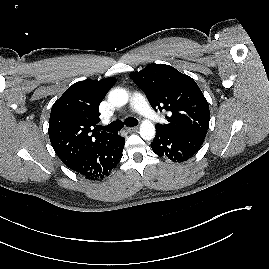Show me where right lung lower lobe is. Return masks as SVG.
Instances as JSON below:
<instances>
[{
	"label": "right lung lower lobe",
	"instance_id": "98d812e1",
	"mask_svg": "<svg viewBox=\"0 0 269 269\" xmlns=\"http://www.w3.org/2000/svg\"><path fill=\"white\" fill-rule=\"evenodd\" d=\"M124 144L125 139L114 134L107 141L82 155L68 168L90 180L102 179L119 163Z\"/></svg>",
	"mask_w": 269,
	"mask_h": 269
}]
</instances>
